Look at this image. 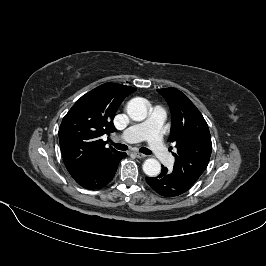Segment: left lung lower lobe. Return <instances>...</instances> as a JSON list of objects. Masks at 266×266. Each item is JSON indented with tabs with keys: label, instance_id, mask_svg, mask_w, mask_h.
Masks as SVG:
<instances>
[{
	"label": "left lung lower lobe",
	"instance_id": "1",
	"mask_svg": "<svg viewBox=\"0 0 266 266\" xmlns=\"http://www.w3.org/2000/svg\"><path fill=\"white\" fill-rule=\"evenodd\" d=\"M146 181L154 191L165 197L179 196L190 189V186L174 177L168 169L163 166L160 175L154 178L147 177Z\"/></svg>",
	"mask_w": 266,
	"mask_h": 266
}]
</instances>
